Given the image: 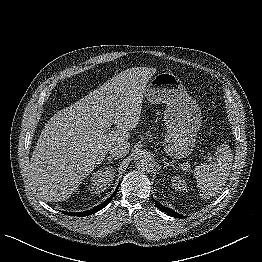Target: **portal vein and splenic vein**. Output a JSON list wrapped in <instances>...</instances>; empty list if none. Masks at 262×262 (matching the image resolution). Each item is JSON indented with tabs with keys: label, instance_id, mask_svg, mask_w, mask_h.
<instances>
[{
	"label": "portal vein and splenic vein",
	"instance_id": "obj_1",
	"mask_svg": "<svg viewBox=\"0 0 262 262\" xmlns=\"http://www.w3.org/2000/svg\"><path fill=\"white\" fill-rule=\"evenodd\" d=\"M112 125V122H110L109 127ZM207 159H211V156H207Z\"/></svg>",
	"mask_w": 262,
	"mask_h": 262
}]
</instances>
